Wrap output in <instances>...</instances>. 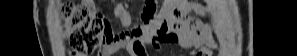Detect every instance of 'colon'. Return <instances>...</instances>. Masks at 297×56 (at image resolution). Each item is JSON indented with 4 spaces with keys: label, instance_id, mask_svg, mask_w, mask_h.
Returning a JSON list of instances; mask_svg holds the SVG:
<instances>
[{
    "label": "colon",
    "instance_id": "obj_1",
    "mask_svg": "<svg viewBox=\"0 0 297 56\" xmlns=\"http://www.w3.org/2000/svg\"><path fill=\"white\" fill-rule=\"evenodd\" d=\"M61 11L67 24V40L73 51L92 54L111 39L107 20L92 12L87 5L66 3Z\"/></svg>",
    "mask_w": 297,
    "mask_h": 56
}]
</instances>
